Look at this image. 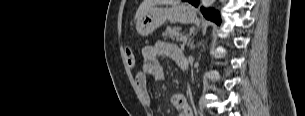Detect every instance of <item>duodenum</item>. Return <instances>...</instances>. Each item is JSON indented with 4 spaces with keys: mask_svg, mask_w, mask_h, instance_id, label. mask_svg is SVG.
Here are the masks:
<instances>
[{
    "mask_svg": "<svg viewBox=\"0 0 305 116\" xmlns=\"http://www.w3.org/2000/svg\"><path fill=\"white\" fill-rule=\"evenodd\" d=\"M176 63L178 64V66L181 68V70L185 69V58L184 57H180L176 60Z\"/></svg>",
    "mask_w": 305,
    "mask_h": 116,
    "instance_id": "duodenum-1",
    "label": "duodenum"
}]
</instances>
